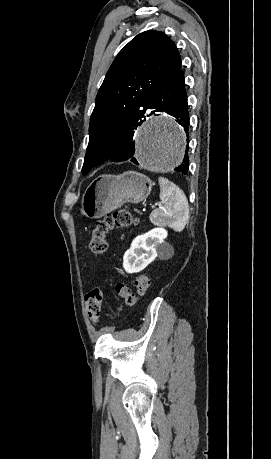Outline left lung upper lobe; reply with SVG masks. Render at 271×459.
I'll use <instances>...</instances> for the list:
<instances>
[{
  "instance_id": "5c2ea615",
  "label": "left lung upper lobe",
  "mask_w": 271,
  "mask_h": 459,
  "mask_svg": "<svg viewBox=\"0 0 271 459\" xmlns=\"http://www.w3.org/2000/svg\"><path fill=\"white\" fill-rule=\"evenodd\" d=\"M180 68L179 52L162 32L140 33L125 45L97 94L82 174L113 155L120 133L148 110V94Z\"/></svg>"
}]
</instances>
